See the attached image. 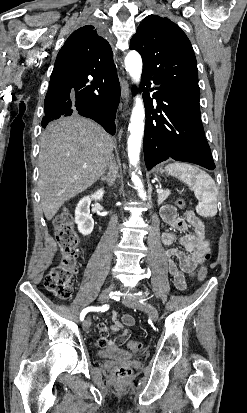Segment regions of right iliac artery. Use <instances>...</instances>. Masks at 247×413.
Segmentation results:
<instances>
[{
	"label": "right iliac artery",
	"mask_w": 247,
	"mask_h": 413,
	"mask_svg": "<svg viewBox=\"0 0 247 413\" xmlns=\"http://www.w3.org/2000/svg\"><path fill=\"white\" fill-rule=\"evenodd\" d=\"M108 308H109L108 305H103L102 307H93V306L87 307V308L83 309L82 312L80 313V320L83 321L84 318H85V315H86L88 312H90V311H101V312H104V311H106Z\"/></svg>",
	"instance_id": "1"
}]
</instances>
